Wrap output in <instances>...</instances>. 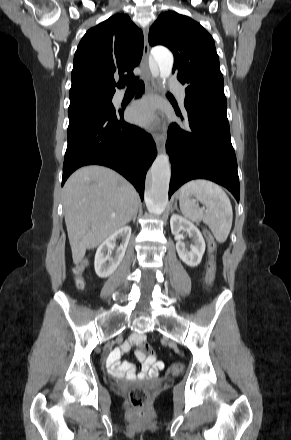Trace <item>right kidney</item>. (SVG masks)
Wrapping results in <instances>:
<instances>
[{
    "instance_id": "1",
    "label": "right kidney",
    "mask_w": 291,
    "mask_h": 440,
    "mask_svg": "<svg viewBox=\"0 0 291 440\" xmlns=\"http://www.w3.org/2000/svg\"><path fill=\"white\" fill-rule=\"evenodd\" d=\"M130 236L131 227L125 226L114 232L99 245L94 261L95 272L99 277L106 278L117 269L124 258ZM118 239H121L122 243L115 254L111 256Z\"/></svg>"
}]
</instances>
